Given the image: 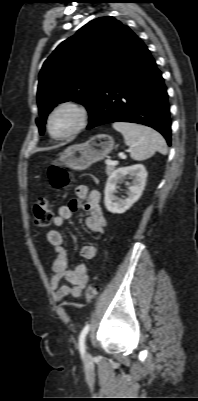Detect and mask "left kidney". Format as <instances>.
I'll return each mask as SVG.
<instances>
[{
    "instance_id": "5707ae66",
    "label": "left kidney",
    "mask_w": 198,
    "mask_h": 401,
    "mask_svg": "<svg viewBox=\"0 0 198 401\" xmlns=\"http://www.w3.org/2000/svg\"><path fill=\"white\" fill-rule=\"evenodd\" d=\"M147 171L141 164L128 167H120L113 171L108 177L105 186L104 203L106 209L111 213L122 214L126 212L142 195L145 188ZM133 178L132 185L126 183L129 189L128 198L119 199L115 196L117 184L125 177Z\"/></svg>"
}]
</instances>
